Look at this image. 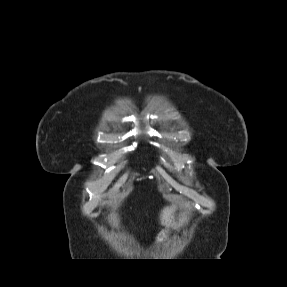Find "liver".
Here are the masks:
<instances>
[{
  "instance_id": "6515ba94",
  "label": "liver",
  "mask_w": 287,
  "mask_h": 287,
  "mask_svg": "<svg viewBox=\"0 0 287 287\" xmlns=\"http://www.w3.org/2000/svg\"><path fill=\"white\" fill-rule=\"evenodd\" d=\"M174 211V207H165L160 214V222L162 225H165L168 220H170V217L172 216V213Z\"/></svg>"
}]
</instances>
